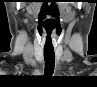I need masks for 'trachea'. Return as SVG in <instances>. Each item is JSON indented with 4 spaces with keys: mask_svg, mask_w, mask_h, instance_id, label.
Returning <instances> with one entry per match:
<instances>
[{
    "mask_svg": "<svg viewBox=\"0 0 97 87\" xmlns=\"http://www.w3.org/2000/svg\"><path fill=\"white\" fill-rule=\"evenodd\" d=\"M44 60H45L44 75L50 77V76H52V74L54 72V67H55L54 51L44 50Z\"/></svg>",
    "mask_w": 97,
    "mask_h": 87,
    "instance_id": "trachea-1",
    "label": "trachea"
}]
</instances>
